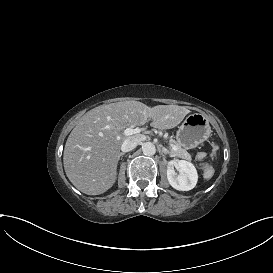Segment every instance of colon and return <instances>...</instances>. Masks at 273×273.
<instances>
[{
    "label": "colon",
    "instance_id": "5ec220e1",
    "mask_svg": "<svg viewBox=\"0 0 273 273\" xmlns=\"http://www.w3.org/2000/svg\"><path fill=\"white\" fill-rule=\"evenodd\" d=\"M216 150H217L216 148H214V149H213V155H215V153H216Z\"/></svg>",
    "mask_w": 273,
    "mask_h": 273
}]
</instances>
